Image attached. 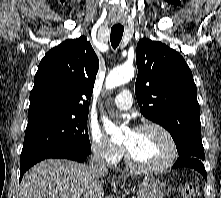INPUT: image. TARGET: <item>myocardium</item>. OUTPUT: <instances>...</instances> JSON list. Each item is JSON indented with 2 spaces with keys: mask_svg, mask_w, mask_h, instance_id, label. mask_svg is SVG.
Wrapping results in <instances>:
<instances>
[{
  "mask_svg": "<svg viewBox=\"0 0 221 198\" xmlns=\"http://www.w3.org/2000/svg\"><path fill=\"white\" fill-rule=\"evenodd\" d=\"M156 129L160 131L164 137L167 139L168 144H169V154L167 158L159 165L155 166H143L138 164L133 157L131 156L130 152L128 149L125 147L124 149V155H125V162L130 167L132 170L140 173H145V174H155V173H161L168 168H170L173 163L176 160L177 153H178V148H177V143L171 132L161 125L160 123L154 122V121H147L144 123L139 124L137 127H135L134 131H142L145 129Z\"/></svg>",
  "mask_w": 221,
  "mask_h": 198,
  "instance_id": "1",
  "label": "myocardium"
}]
</instances>
